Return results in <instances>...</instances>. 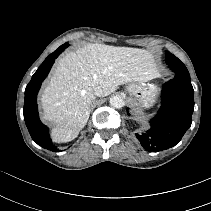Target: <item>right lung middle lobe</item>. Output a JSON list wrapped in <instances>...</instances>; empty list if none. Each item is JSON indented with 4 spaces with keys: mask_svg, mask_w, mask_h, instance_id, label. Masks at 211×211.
<instances>
[{
    "mask_svg": "<svg viewBox=\"0 0 211 211\" xmlns=\"http://www.w3.org/2000/svg\"><path fill=\"white\" fill-rule=\"evenodd\" d=\"M69 46V44L68 43H65V44H63L62 46H60V47H62V49H65L66 47H68Z\"/></svg>",
    "mask_w": 211,
    "mask_h": 211,
    "instance_id": "1",
    "label": "right lung middle lobe"
}]
</instances>
